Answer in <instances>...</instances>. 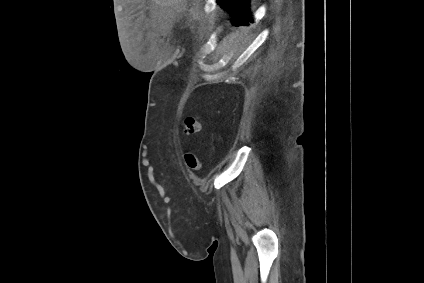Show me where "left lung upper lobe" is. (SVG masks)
I'll return each instance as SVG.
<instances>
[{
	"mask_svg": "<svg viewBox=\"0 0 424 283\" xmlns=\"http://www.w3.org/2000/svg\"><path fill=\"white\" fill-rule=\"evenodd\" d=\"M217 2L231 14L233 26H246L249 25L248 22H252L250 0H217Z\"/></svg>",
	"mask_w": 424,
	"mask_h": 283,
	"instance_id": "obj_1",
	"label": "left lung upper lobe"
}]
</instances>
